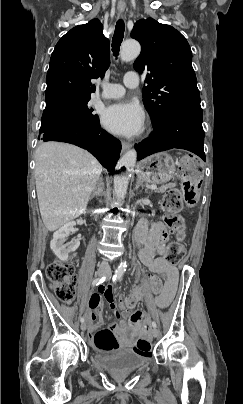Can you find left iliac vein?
<instances>
[{
    "label": "left iliac vein",
    "instance_id": "obj_1",
    "mask_svg": "<svg viewBox=\"0 0 243 404\" xmlns=\"http://www.w3.org/2000/svg\"><path fill=\"white\" fill-rule=\"evenodd\" d=\"M152 335H153V337H158V335H159V330L156 329V328H153V329H152Z\"/></svg>",
    "mask_w": 243,
    "mask_h": 404
}]
</instances>
